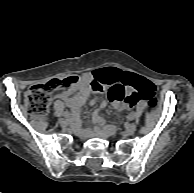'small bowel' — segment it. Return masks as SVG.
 Instances as JSON below:
<instances>
[{
    "label": "small bowel",
    "mask_w": 194,
    "mask_h": 193,
    "mask_svg": "<svg viewBox=\"0 0 194 193\" xmlns=\"http://www.w3.org/2000/svg\"><path fill=\"white\" fill-rule=\"evenodd\" d=\"M124 72L120 69L109 67L93 70L84 73L77 84V93H60L59 97L63 99L71 110L77 114L82 107L86 105H97L93 113V122L97 127H102V134L104 136H110L115 132V126L111 124H105L104 118L99 114L100 110L106 106L105 101L100 102L98 95L94 94L93 87L99 86L112 79H120ZM143 84L137 83L136 85L127 86V90L130 94L143 93L146 98L147 94L151 93L152 87L148 81L140 78ZM124 107L116 106L117 111H122Z\"/></svg>",
    "instance_id": "1"
}]
</instances>
